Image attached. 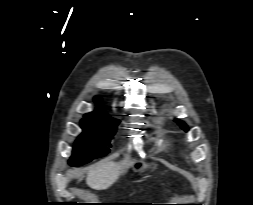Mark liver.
Wrapping results in <instances>:
<instances>
[{
	"instance_id": "6515ba94",
	"label": "liver",
	"mask_w": 253,
	"mask_h": 205,
	"mask_svg": "<svg viewBox=\"0 0 253 205\" xmlns=\"http://www.w3.org/2000/svg\"><path fill=\"white\" fill-rule=\"evenodd\" d=\"M131 160L120 162H105L91 169L87 173L86 183L95 190H104L117 181L119 176L132 165Z\"/></svg>"
}]
</instances>
